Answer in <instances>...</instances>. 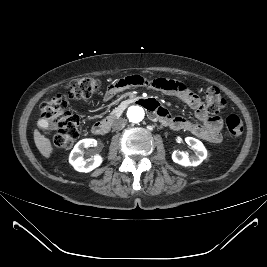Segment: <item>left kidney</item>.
<instances>
[{
	"label": "left kidney",
	"mask_w": 267,
	"mask_h": 267,
	"mask_svg": "<svg viewBox=\"0 0 267 267\" xmlns=\"http://www.w3.org/2000/svg\"><path fill=\"white\" fill-rule=\"evenodd\" d=\"M185 142L195 150V155L189 157L182 151H174L172 154L173 161L184 167L198 166L207 157L205 146L201 141L193 137H186Z\"/></svg>",
	"instance_id": "1"
}]
</instances>
